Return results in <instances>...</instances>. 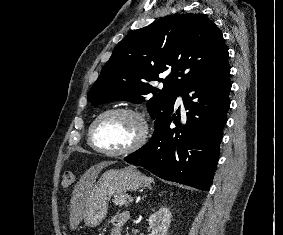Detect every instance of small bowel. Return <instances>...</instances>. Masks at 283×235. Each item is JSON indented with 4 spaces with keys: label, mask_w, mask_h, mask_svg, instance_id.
<instances>
[{
    "label": "small bowel",
    "mask_w": 283,
    "mask_h": 235,
    "mask_svg": "<svg viewBox=\"0 0 283 235\" xmlns=\"http://www.w3.org/2000/svg\"><path fill=\"white\" fill-rule=\"evenodd\" d=\"M129 219L127 212H121L113 216L111 219L110 235H121V231L125 223Z\"/></svg>",
    "instance_id": "1"
}]
</instances>
